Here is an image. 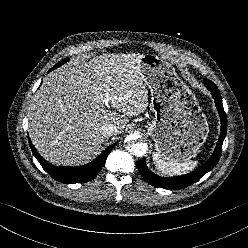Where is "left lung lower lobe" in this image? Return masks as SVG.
I'll return each mask as SVG.
<instances>
[{"label":"left lung lower lobe","mask_w":248,"mask_h":248,"mask_svg":"<svg viewBox=\"0 0 248 248\" xmlns=\"http://www.w3.org/2000/svg\"><path fill=\"white\" fill-rule=\"evenodd\" d=\"M204 83L207 89L213 95V98L215 100V104H216V107L218 109L220 119H221V134L219 136L217 146L213 154L208 159V161L199 169L195 170L194 172L188 173L186 175L176 176V177L158 176L147 168L145 159L142 161H137L136 166L140 174L145 179V181H147L149 184L156 186V187L165 188V189H172V190L182 189V188H185L193 184L197 180H199L207 172L213 169L214 166L219 161L221 151H222L223 140L225 138L226 131H227V117L223 109L222 98L220 96V92L218 88L216 87V85L210 80H205Z\"/></svg>","instance_id":"obj_1"}]
</instances>
